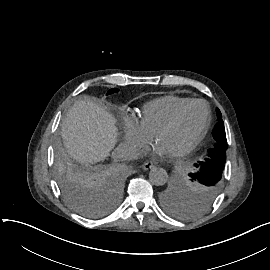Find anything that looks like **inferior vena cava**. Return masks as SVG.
<instances>
[{
    "mask_svg": "<svg viewBox=\"0 0 270 270\" xmlns=\"http://www.w3.org/2000/svg\"><path fill=\"white\" fill-rule=\"evenodd\" d=\"M138 154V151L134 147L126 143H120L112 152V158L114 160H134L138 158Z\"/></svg>",
    "mask_w": 270,
    "mask_h": 270,
    "instance_id": "602c4592",
    "label": "inferior vena cava"
}]
</instances>
